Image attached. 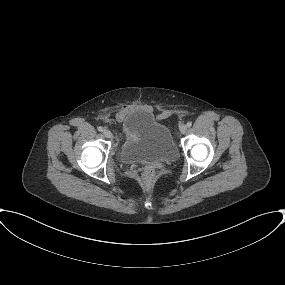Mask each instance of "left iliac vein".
<instances>
[{
	"label": "left iliac vein",
	"mask_w": 285,
	"mask_h": 285,
	"mask_svg": "<svg viewBox=\"0 0 285 285\" xmlns=\"http://www.w3.org/2000/svg\"><path fill=\"white\" fill-rule=\"evenodd\" d=\"M179 130L181 133H185L187 131V126L182 124L180 127H179Z\"/></svg>",
	"instance_id": "4c4485c4"
}]
</instances>
